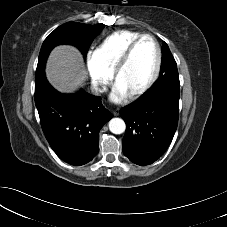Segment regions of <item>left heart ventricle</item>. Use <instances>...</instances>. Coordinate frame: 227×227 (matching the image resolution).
Masks as SVG:
<instances>
[{
	"label": "left heart ventricle",
	"mask_w": 227,
	"mask_h": 227,
	"mask_svg": "<svg viewBox=\"0 0 227 227\" xmlns=\"http://www.w3.org/2000/svg\"><path fill=\"white\" fill-rule=\"evenodd\" d=\"M157 50L152 40L145 38L135 48L131 59L119 75L116 85L126 94L142 87L153 75Z\"/></svg>",
	"instance_id": "left-heart-ventricle-1"
}]
</instances>
